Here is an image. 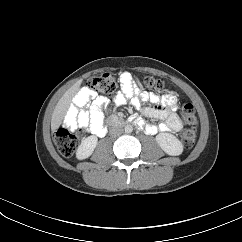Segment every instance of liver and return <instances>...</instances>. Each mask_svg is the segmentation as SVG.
Returning a JSON list of instances; mask_svg holds the SVG:
<instances>
[{"label": "liver", "mask_w": 242, "mask_h": 242, "mask_svg": "<svg viewBox=\"0 0 242 242\" xmlns=\"http://www.w3.org/2000/svg\"><path fill=\"white\" fill-rule=\"evenodd\" d=\"M80 84H81V81L78 82L73 88L68 90L65 93V95L62 97V99L59 101V103L57 104L51 120V129L53 132H55L59 128L61 121L65 115L66 109L70 103L71 95L80 86Z\"/></svg>", "instance_id": "6515ba94"}]
</instances>
